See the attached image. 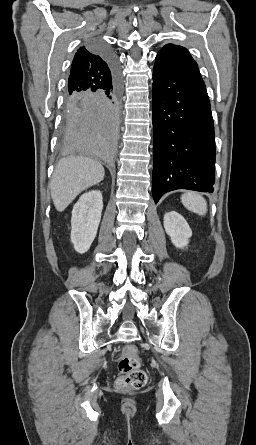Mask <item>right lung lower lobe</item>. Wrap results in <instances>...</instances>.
Returning a JSON list of instances; mask_svg holds the SVG:
<instances>
[{
	"mask_svg": "<svg viewBox=\"0 0 256 445\" xmlns=\"http://www.w3.org/2000/svg\"><path fill=\"white\" fill-rule=\"evenodd\" d=\"M89 44L107 61L110 81L98 91L66 96L63 145L73 154L112 164L120 123V76L111 48L98 40H91Z\"/></svg>",
	"mask_w": 256,
	"mask_h": 445,
	"instance_id": "obj_1",
	"label": "right lung lower lobe"
}]
</instances>
